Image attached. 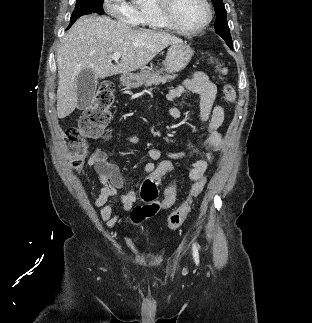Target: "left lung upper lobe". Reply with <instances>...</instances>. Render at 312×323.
<instances>
[{"label":"left lung upper lobe","instance_id":"obj_1","mask_svg":"<svg viewBox=\"0 0 312 323\" xmlns=\"http://www.w3.org/2000/svg\"><path fill=\"white\" fill-rule=\"evenodd\" d=\"M215 7V12L217 14L215 29L216 32L227 42L228 46L232 49V38L230 35V30L228 27L226 19V10L224 7L223 0H211Z\"/></svg>","mask_w":312,"mask_h":323}]
</instances>
